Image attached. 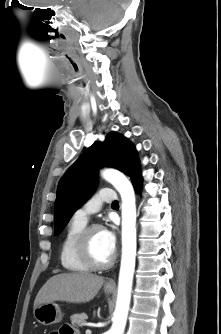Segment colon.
Masks as SVG:
<instances>
[{
	"label": "colon",
	"mask_w": 221,
	"mask_h": 334,
	"mask_svg": "<svg viewBox=\"0 0 221 334\" xmlns=\"http://www.w3.org/2000/svg\"><path fill=\"white\" fill-rule=\"evenodd\" d=\"M49 334H58L56 331L50 332Z\"/></svg>",
	"instance_id": "colon-1"
}]
</instances>
